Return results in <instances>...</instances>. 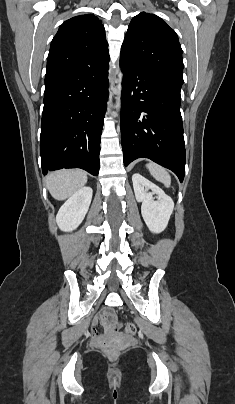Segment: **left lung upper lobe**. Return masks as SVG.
I'll use <instances>...</instances> for the list:
<instances>
[{"mask_svg":"<svg viewBox=\"0 0 235 404\" xmlns=\"http://www.w3.org/2000/svg\"><path fill=\"white\" fill-rule=\"evenodd\" d=\"M121 56L183 84L182 49L175 31L154 14L141 12L129 24Z\"/></svg>","mask_w":235,"mask_h":404,"instance_id":"1","label":"left lung upper lobe"}]
</instances>
